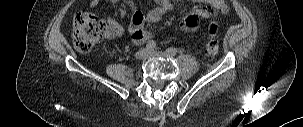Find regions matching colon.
<instances>
[{
    "mask_svg": "<svg viewBox=\"0 0 303 127\" xmlns=\"http://www.w3.org/2000/svg\"><path fill=\"white\" fill-rule=\"evenodd\" d=\"M218 23L211 22L207 28L206 52L211 57L219 54V47L215 40ZM108 35L106 24L96 15L80 11L74 20V43L77 50L87 52L104 40Z\"/></svg>",
    "mask_w": 303,
    "mask_h": 127,
    "instance_id": "1",
    "label": "colon"
}]
</instances>
